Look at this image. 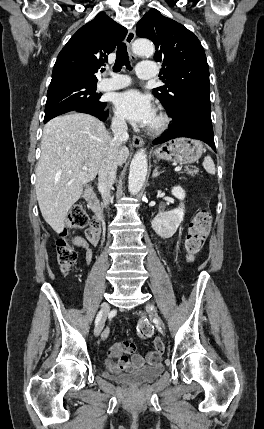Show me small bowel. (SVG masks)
I'll return each mask as SVG.
<instances>
[{
	"mask_svg": "<svg viewBox=\"0 0 264 429\" xmlns=\"http://www.w3.org/2000/svg\"><path fill=\"white\" fill-rule=\"evenodd\" d=\"M100 232L101 225L97 220H95L86 230L85 238L76 236L71 240L75 246L80 247L85 251L87 264H90L93 259L92 246L98 244ZM107 336L108 331H105L103 339ZM162 352L163 349L159 350L155 347L154 350L149 351L145 356H143L136 353V346L133 343L123 341L111 346L107 355L109 358L117 360V367L120 370L130 372L134 369L142 368L145 364H156L161 359ZM128 355L131 356L129 357Z\"/></svg>",
	"mask_w": 264,
	"mask_h": 429,
	"instance_id": "obj_1",
	"label": "small bowel"
}]
</instances>
